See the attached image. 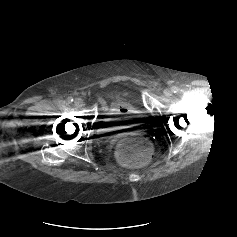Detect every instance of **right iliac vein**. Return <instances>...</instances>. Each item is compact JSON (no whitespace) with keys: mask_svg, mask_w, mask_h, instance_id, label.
<instances>
[{"mask_svg":"<svg viewBox=\"0 0 237 237\" xmlns=\"http://www.w3.org/2000/svg\"><path fill=\"white\" fill-rule=\"evenodd\" d=\"M83 104H84V102H83V100L81 98H77L74 101V105L77 108H81L83 106Z\"/></svg>","mask_w":237,"mask_h":237,"instance_id":"obj_1","label":"right iliac vein"}]
</instances>
